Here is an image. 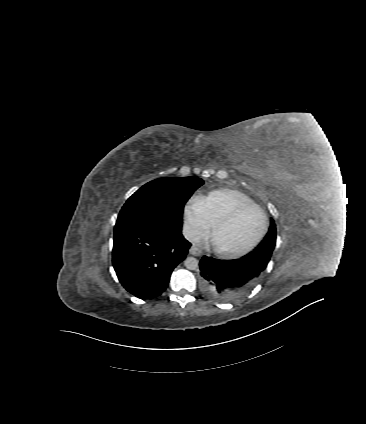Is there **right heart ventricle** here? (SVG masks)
Returning <instances> with one entry per match:
<instances>
[{"mask_svg":"<svg viewBox=\"0 0 366 424\" xmlns=\"http://www.w3.org/2000/svg\"><path fill=\"white\" fill-rule=\"evenodd\" d=\"M205 212L214 224L219 218L242 204H256L247 194L230 188H220L203 197Z\"/></svg>","mask_w":366,"mask_h":424,"instance_id":"1","label":"right heart ventricle"}]
</instances>
